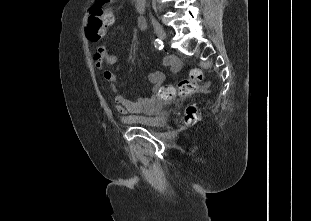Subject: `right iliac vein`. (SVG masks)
<instances>
[{"mask_svg":"<svg viewBox=\"0 0 311 221\" xmlns=\"http://www.w3.org/2000/svg\"><path fill=\"white\" fill-rule=\"evenodd\" d=\"M153 27L157 36L163 41L166 40L167 35L163 27L158 22H153Z\"/></svg>","mask_w":311,"mask_h":221,"instance_id":"1","label":"right iliac vein"}]
</instances>
